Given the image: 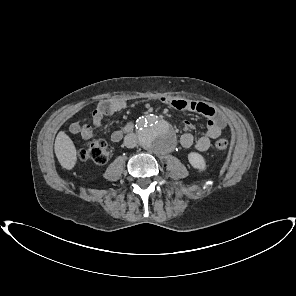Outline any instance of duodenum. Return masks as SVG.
Returning a JSON list of instances; mask_svg holds the SVG:
<instances>
[{"label":"duodenum","instance_id":"duodenum-1","mask_svg":"<svg viewBox=\"0 0 296 296\" xmlns=\"http://www.w3.org/2000/svg\"><path fill=\"white\" fill-rule=\"evenodd\" d=\"M132 128H133V123L130 122L125 126V131L130 132Z\"/></svg>","mask_w":296,"mask_h":296}]
</instances>
